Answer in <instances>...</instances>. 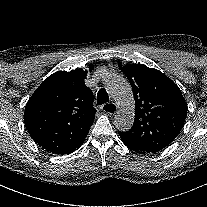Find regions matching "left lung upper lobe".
<instances>
[{"label":"left lung upper lobe","instance_id":"5c2ea615","mask_svg":"<svg viewBox=\"0 0 207 207\" xmlns=\"http://www.w3.org/2000/svg\"><path fill=\"white\" fill-rule=\"evenodd\" d=\"M132 86L135 120L126 132L118 131L134 151L156 153L180 133L187 104L179 87L161 71L143 64H118Z\"/></svg>","mask_w":207,"mask_h":207}]
</instances>
